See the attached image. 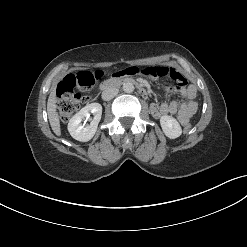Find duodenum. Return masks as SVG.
<instances>
[{"instance_id":"obj_1","label":"duodenum","mask_w":247,"mask_h":247,"mask_svg":"<svg viewBox=\"0 0 247 247\" xmlns=\"http://www.w3.org/2000/svg\"><path fill=\"white\" fill-rule=\"evenodd\" d=\"M123 83H135V81L132 78L129 77H114L111 79H108L106 81H104L101 86L100 89L102 92H105L113 87L119 86ZM136 87L138 89V91L142 94H146V89L140 85V84H136Z\"/></svg>"}]
</instances>
